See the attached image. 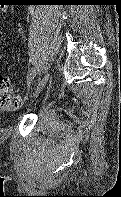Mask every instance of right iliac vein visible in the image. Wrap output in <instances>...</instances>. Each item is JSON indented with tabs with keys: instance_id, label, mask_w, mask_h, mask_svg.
Instances as JSON below:
<instances>
[{
	"instance_id": "1",
	"label": "right iliac vein",
	"mask_w": 121,
	"mask_h": 197,
	"mask_svg": "<svg viewBox=\"0 0 121 197\" xmlns=\"http://www.w3.org/2000/svg\"><path fill=\"white\" fill-rule=\"evenodd\" d=\"M48 79H49V76L45 75L44 78L38 84L34 96H37L45 88V86L48 82Z\"/></svg>"
}]
</instances>
